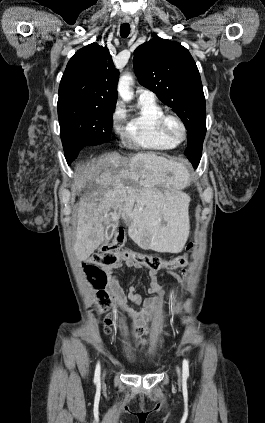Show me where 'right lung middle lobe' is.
<instances>
[{
	"label": "right lung middle lobe",
	"instance_id": "dd1d6c3e",
	"mask_svg": "<svg viewBox=\"0 0 265 423\" xmlns=\"http://www.w3.org/2000/svg\"><path fill=\"white\" fill-rule=\"evenodd\" d=\"M57 107L60 136L68 164L83 147L111 139L114 109L78 101L58 102Z\"/></svg>",
	"mask_w": 265,
	"mask_h": 423
}]
</instances>
